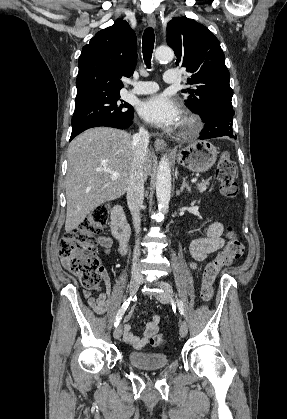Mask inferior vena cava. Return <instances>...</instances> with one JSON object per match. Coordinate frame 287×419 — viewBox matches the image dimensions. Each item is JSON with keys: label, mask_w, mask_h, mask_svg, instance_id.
I'll list each match as a JSON object with an SVG mask.
<instances>
[{"label": "inferior vena cava", "mask_w": 287, "mask_h": 419, "mask_svg": "<svg viewBox=\"0 0 287 419\" xmlns=\"http://www.w3.org/2000/svg\"><path fill=\"white\" fill-rule=\"evenodd\" d=\"M149 137L148 131L144 128H140L139 132L134 134L132 138L134 159L130 173L129 186L127 188V203L131 211L136 233H139L140 231V210L144 201V161L148 150ZM139 256V241L137 240L132 263V275L136 277H142L137 263Z\"/></svg>", "instance_id": "inferior-vena-cava-1"}]
</instances>
